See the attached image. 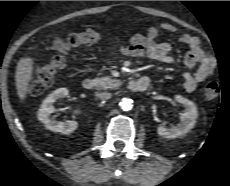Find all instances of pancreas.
Wrapping results in <instances>:
<instances>
[{"label": "pancreas", "instance_id": "1", "mask_svg": "<svg viewBox=\"0 0 230 186\" xmlns=\"http://www.w3.org/2000/svg\"><path fill=\"white\" fill-rule=\"evenodd\" d=\"M95 81H96V88L98 90L113 89V88L119 87L122 84V82L120 80L112 79L108 76L97 78V79H95Z\"/></svg>", "mask_w": 230, "mask_h": 186}]
</instances>
